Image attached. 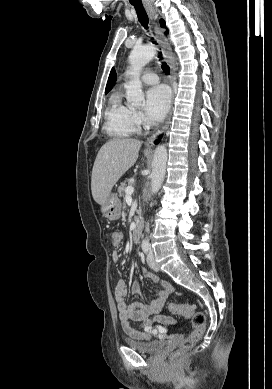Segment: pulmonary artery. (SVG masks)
<instances>
[{
	"mask_svg": "<svg viewBox=\"0 0 272 389\" xmlns=\"http://www.w3.org/2000/svg\"><path fill=\"white\" fill-rule=\"evenodd\" d=\"M142 81L146 84H156L159 77L155 72L147 71L142 75Z\"/></svg>",
	"mask_w": 272,
	"mask_h": 389,
	"instance_id": "pulmonary-artery-1",
	"label": "pulmonary artery"
}]
</instances>
